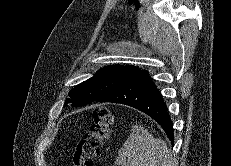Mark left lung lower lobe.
<instances>
[{
    "instance_id": "obj_1",
    "label": "left lung lower lobe",
    "mask_w": 231,
    "mask_h": 166,
    "mask_svg": "<svg viewBox=\"0 0 231 166\" xmlns=\"http://www.w3.org/2000/svg\"><path fill=\"white\" fill-rule=\"evenodd\" d=\"M94 102L120 103L134 107L154 119L174 142L173 124L165 102L147 70L124 82Z\"/></svg>"
}]
</instances>
